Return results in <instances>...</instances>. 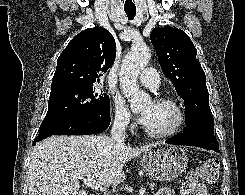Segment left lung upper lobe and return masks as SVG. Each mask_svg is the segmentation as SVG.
<instances>
[{"label":"left lung upper lobe","instance_id":"1","mask_svg":"<svg viewBox=\"0 0 245 195\" xmlns=\"http://www.w3.org/2000/svg\"><path fill=\"white\" fill-rule=\"evenodd\" d=\"M150 39L164 75L184 100L186 124L214 129L206 76L196 59L197 50L189 36L178 28L165 27L153 29Z\"/></svg>","mask_w":245,"mask_h":195}]
</instances>
